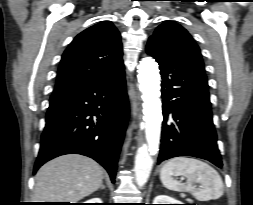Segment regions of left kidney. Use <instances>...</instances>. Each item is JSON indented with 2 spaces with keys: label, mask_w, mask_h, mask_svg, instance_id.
<instances>
[{
  "label": "left kidney",
  "mask_w": 253,
  "mask_h": 205,
  "mask_svg": "<svg viewBox=\"0 0 253 205\" xmlns=\"http://www.w3.org/2000/svg\"><path fill=\"white\" fill-rule=\"evenodd\" d=\"M153 204H183V203L172 197L159 195L155 197Z\"/></svg>",
  "instance_id": "left-kidney-1"
}]
</instances>
